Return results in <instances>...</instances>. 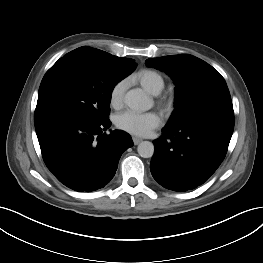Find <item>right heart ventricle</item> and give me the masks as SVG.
I'll return each instance as SVG.
<instances>
[{
    "label": "right heart ventricle",
    "instance_id": "obj_1",
    "mask_svg": "<svg viewBox=\"0 0 263 263\" xmlns=\"http://www.w3.org/2000/svg\"><path fill=\"white\" fill-rule=\"evenodd\" d=\"M133 80L140 84L147 92L154 95L160 93L165 85L162 75L151 69H142L138 71L133 76Z\"/></svg>",
    "mask_w": 263,
    "mask_h": 263
}]
</instances>
